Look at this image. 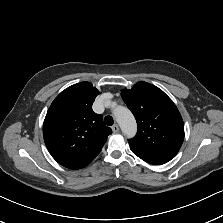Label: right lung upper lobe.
<instances>
[{"label": "right lung upper lobe", "mask_w": 223, "mask_h": 223, "mask_svg": "<svg viewBox=\"0 0 223 223\" xmlns=\"http://www.w3.org/2000/svg\"><path fill=\"white\" fill-rule=\"evenodd\" d=\"M99 91L89 82L74 84L52 102L43 124L45 144L52 157L69 169L89 165L112 130L92 110Z\"/></svg>", "instance_id": "obj_1"}]
</instances>
